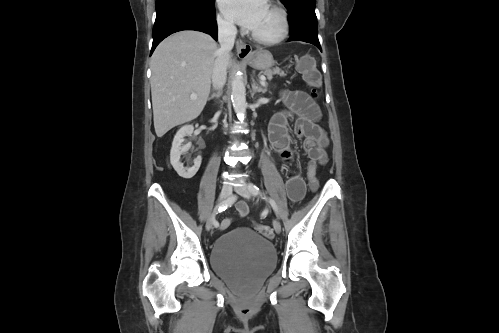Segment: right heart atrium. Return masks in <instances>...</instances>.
<instances>
[{
    "instance_id": "right-heart-atrium-1",
    "label": "right heart atrium",
    "mask_w": 499,
    "mask_h": 333,
    "mask_svg": "<svg viewBox=\"0 0 499 333\" xmlns=\"http://www.w3.org/2000/svg\"><path fill=\"white\" fill-rule=\"evenodd\" d=\"M217 25L219 29L225 33L230 34L234 31L233 24L224 17H222L221 15L217 16Z\"/></svg>"
}]
</instances>
